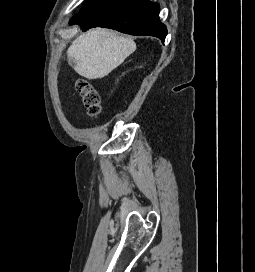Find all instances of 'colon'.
Here are the masks:
<instances>
[{
    "label": "colon",
    "mask_w": 255,
    "mask_h": 272,
    "mask_svg": "<svg viewBox=\"0 0 255 272\" xmlns=\"http://www.w3.org/2000/svg\"><path fill=\"white\" fill-rule=\"evenodd\" d=\"M77 92L91 117H98L101 113L100 97L98 92L85 80H78L75 83Z\"/></svg>",
    "instance_id": "1"
}]
</instances>
